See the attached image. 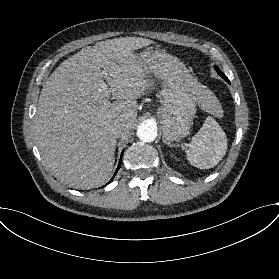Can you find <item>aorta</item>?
<instances>
[{
	"instance_id": "762f6f07",
	"label": "aorta",
	"mask_w": 279,
	"mask_h": 279,
	"mask_svg": "<svg viewBox=\"0 0 279 279\" xmlns=\"http://www.w3.org/2000/svg\"><path fill=\"white\" fill-rule=\"evenodd\" d=\"M137 136L143 142H152L157 137V127L151 121L143 122L138 126Z\"/></svg>"
}]
</instances>
